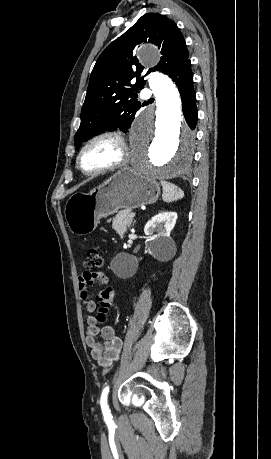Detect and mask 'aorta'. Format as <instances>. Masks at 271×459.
<instances>
[{
    "label": "aorta",
    "mask_w": 271,
    "mask_h": 459,
    "mask_svg": "<svg viewBox=\"0 0 271 459\" xmlns=\"http://www.w3.org/2000/svg\"><path fill=\"white\" fill-rule=\"evenodd\" d=\"M139 58L146 64L160 59L158 48L142 45ZM150 88L155 108H147L138 117L131 135V164L147 179H169L190 167L195 149V135L184 124L181 99L172 80L162 73H152Z\"/></svg>",
    "instance_id": "1"
}]
</instances>
